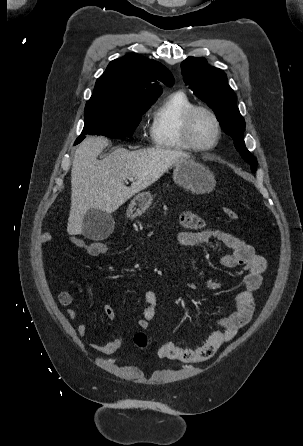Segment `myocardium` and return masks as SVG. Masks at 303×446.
Segmentation results:
<instances>
[{"label":"myocardium","instance_id":"myocardium-1","mask_svg":"<svg viewBox=\"0 0 303 446\" xmlns=\"http://www.w3.org/2000/svg\"><path fill=\"white\" fill-rule=\"evenodd\" d=\"M198 112H204L207 115H209L210 118L212 119V121L214 122V125L216 128L215 140L209 146H200V145L196 144L192 138V134H191L192 121H193L194 116ZM181 134H182V138H183L184 142L190 149L199 151V152H207V151H211V150L215 149L218 146V144L221 140V137H222V127H221L220 121L214 111H212L210 108L205 107V106L194 105L192 108H190L185 113V115L183 117L182 126H181Z\"/></svg>","mask_w":303,"mask_h":446}]
</instances>
